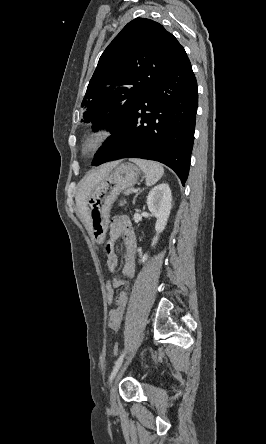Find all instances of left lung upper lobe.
I'll return each instance as SVG.
<instances>
[{
    "label": "left lung upper lobe",
    "instance_id": "5c2ea615",
    "mask_svg": "<svg viewBox=\"0 0 266 444\" xmlns=\"http://www.w3.org/2000/svg\"><path fill=\"white\" fill-rule=\"evenodd\" d=\"M161 24L145 18L129 22L101 55L82 101L93 129L115 130L143 96L186 56Z\"/></svg>",
    "mask_w": 266,
    "mask_h": 444
}]
</instances>
